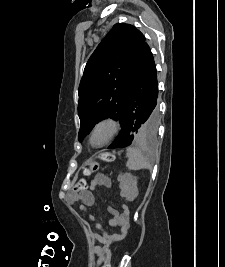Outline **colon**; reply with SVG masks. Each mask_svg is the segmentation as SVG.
Masks as SVG:
<instances>
[{
    "label": "colon",
    "mask_w": 225,
    "mask_h": 267,
    "mask_svg": "<svg viewBox=\"0 0 225 267\" xmlns=\"http://www.w3.org/2000/svg\"><path fill=\"white\" fill-rule=\"evenodd\" d=\"M99 158L104 161H111L113 159L110 153H102L99 155ZM97 168H98L97 162L94 160L90 161L84 168V175L89 176L90 174L95 172ZM86 188H87V181L85 178H82L74 185L73 190L75 193H81L85 191ZM111 259H112V252L111 250H108L102 267H111Z\"/></svg>",
    "instance_id": "1"
}]
</instances>
